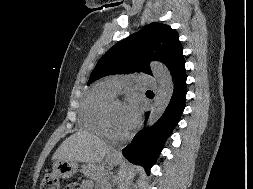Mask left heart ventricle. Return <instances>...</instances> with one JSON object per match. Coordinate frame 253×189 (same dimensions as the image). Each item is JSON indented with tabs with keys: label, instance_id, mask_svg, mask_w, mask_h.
Returning <instances> with one entry per match:
<instances>
[{
	"label": "left heart ventricle",
	"instance_id": "left-heart-ventricle-1",
	"mask_svg": "<svg viewBox=\"0 0 253 189\" xmlns=\"http://www.w3.org/2000/svg\"><path fill=\"white\" fill-rule=\"evenodd\" d=\"M109 123L112 130L117 133H124L132 127L126 116L125 104L114 103L111 106Z\"/></svg>",
	"mask_w": 253,
	"mask_h": 189
}]
</instances>
